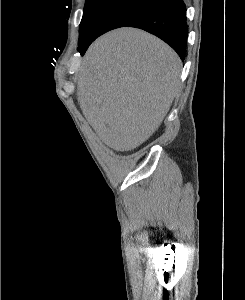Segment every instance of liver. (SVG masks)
Segmentation results:
<instances>
[{"instance_id":"liver-1","label":"liver","mask_w":245,"mask_h":300,"mask_svg":"<svg viewBox=\"0 0 245 300\" xmlns=\"http://www.w3.org/2000/svg\"><path fill=\"white\" fill-rule=\"evenodd\" d=\"M182 62L157 37L119 28L88 48L77 81L78 102L100 140L130 151L160 126L179 89Z\"/></svg>"}]
</instances>
